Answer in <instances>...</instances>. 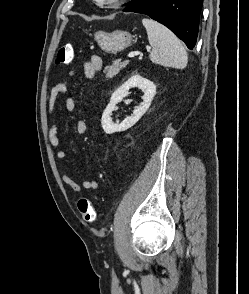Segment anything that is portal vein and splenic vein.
Segmentation results:
<instances>
[{"instance_id":"obj_1","label":"portal vein and splenic vein","mask_w":249,"mask_h":294,"mask_svg":"<svg viewBox=\"0 0 249 294\" xmlns=\"http://www.w3.org/2000/svg\"><path fill=\"white\" fill-rule=\"evenodd\" d=\"M136 55H141V53L130 52V53L128 54V57H129V58H132V57H134V56H136Z\"/></svg>"}]
</instances>
